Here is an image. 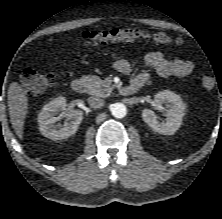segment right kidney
Masks as SVG:
<instances>
[{
  "label": "right kidney",
  "mask_w": 222,
  "mask_h": 219,
  "mask_svg": "<svg viewBox=\"0 0 222 219\" xmlns=\"http://www.w3.org/2000/svg\"><path fill=\"white\" fill-rule=\"evenodd\" d=\"M67 103L64 97H59L47 103L38 116L41 134L53 141L66 139L76 133L83 119V112L79 109L67 115L68 122L56 125L59 120L57 114L66 110Z\"/></svg>",
  "instance_id": "right-kidney-1"
}]
</instances>
